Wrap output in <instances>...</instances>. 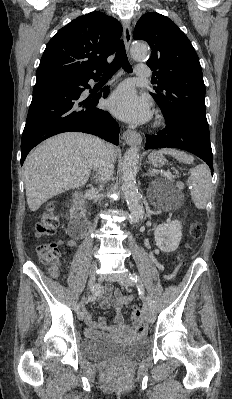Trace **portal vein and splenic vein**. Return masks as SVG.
Wrapping results in <instances>:
<instances>
[{"label": "portal vein and splenic vein", "mask_w": 232, "mask_h": 399, "mask_svg": "<svg viewBox=\"0 0 232 399\" xmlns=\"http://www.w3.org/2000/svg\"><path fill=\"white\" fill-rule=\"evenodd\" d=\"M164 176H167V178H169V176H171L170 172H166V174H164Z\"/></svg>", "instance_id": "1"}]
</instances>
